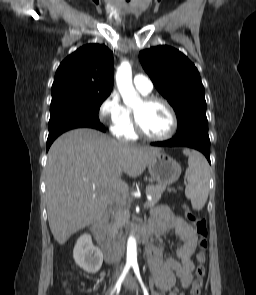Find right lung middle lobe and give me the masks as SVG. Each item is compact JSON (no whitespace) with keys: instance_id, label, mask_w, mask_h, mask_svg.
<instances>
[{"instance_id":"dd1d6c3e","label":"right lung middle lobe","mask_w":256,"mask_h":295,"mask_svg":"<svg viewBox=\"0 0 256 295\" xmlns=\"http://www.w3.org/2000/svg\"><path fill=\"white\" fill-rule=\"evenodd\" d=\"M106 98H66L51 102L49 126L63 121L98 118L99 108Z\"/></svg>"}]
</instances>
